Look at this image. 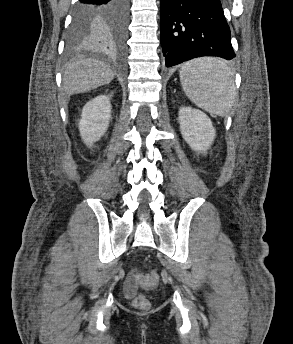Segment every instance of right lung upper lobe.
Wrapping results in <instances>:
<instances>
[{
    "instance_id": "1",
    "label": "right lung upper lobe",
    "mask_w": 293,
    "mask_h": 344,
    "mask_svg": "<svg viewBox=\"0 0 293 344\" xmlns=\"http://www.w3.org/2000/svg\"><path fill=\"white\" fill-rule=\"evenodd\" d=\"M91 45L97 46L96 44H92V43H91Z\"/></svg>"
}]
</instances>
